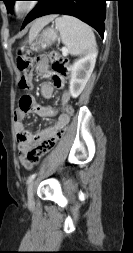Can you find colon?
<instances>
[{
    "mask_svg": "<svg viewBox=\"0 0 133 253\" xmlns=\"http://www.w3.org/2000/svg\"><path fill=\"white\" fill-rule=\"evenodd\" d=\"M51 66L52 72L57 75L66 76L69 73L68 60L56 51H50L46 56ZM33 58L20 51L17 57V67L23 73L19 80V88L24 92H29L32 88L31 76L33 71ZM69 118L74 115V108L71 105L65 107L64 112ZM73 120V119H71ZM66 126L59 129L52 137L44 140L37 148L28 153V160L32 164H37L40 159L50 152L57 142L63 137Z\"/></svg>",
    "mask_w": 133,
    "mask_h": 253,
    "instance_id": "obj_1",
    "label": "colon"
}]
</instances>
